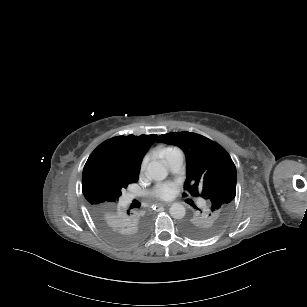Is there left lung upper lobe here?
I'll return each mask as SVG.
<instances>
[{
    "mask_svg": "<svg viewBox=\"0 0 307 307\" xmlns=\"http://www.w3.org/2000/svg\"><path fill=\"white\" fill-rule=\"evenodd\" d=\"M156 141L177 145L184 151V187L191 197L201 196L209 201L203 211L192 213L182 222L183 233L196 239L211 236L224 224L228 204L236 194V167L231 157L217 143L187 131L160 135ZM186 202L197 209L191 199Z\"/></svg>",
    "mask_w": 307,
    "mask_h": 307,
    "instance_id": "left-lung-upper-lobe-1",
    "label": "left lung upper lobe"
}]
</instances>
